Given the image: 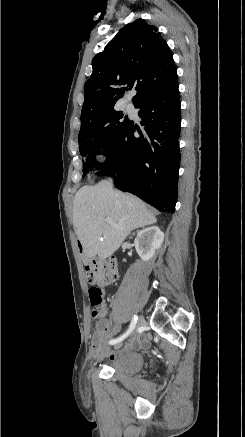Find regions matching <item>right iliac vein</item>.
I'll return each mask as SVG.
<instances>
[{
  "label": "right iliac vein",
  "mask_w": 245,
  "mask_h": 437,
  "mask_svg": "<svg viewBox=\"0 0 245 437\" xmlns=\"http://www.w3.org/2000/svg\"><path fill=\"white\" fill-rule=\"evenodd\" d=\"M143 323H144V318H143V316H140V317L138 318L137 323H136V327H137V328L140 327Z\"/></svg>",
  "instance_id": "obj_1"
}]
</instances>
